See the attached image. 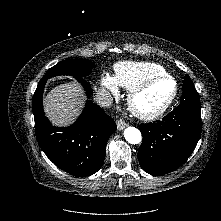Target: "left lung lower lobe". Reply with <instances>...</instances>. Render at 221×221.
<instances>
[{
	"instance_id": "0a47b994",
	"label": "left lung lower lobe",
	"mask_w": 221,
	"mask_h": 221,
	"mask_svg": "<svg viewBox=\"0 0 221 221\" xmlns=\"http://www.w3.org/2000/svg\"><path fill=\"white\" fill-rule=\"evenodd\" d=\"M141 168L151 175L170 173L180 167L195 149L201 134V106L178 105L161 121L141 124Z\"/></svg>"
}]
</instances>
